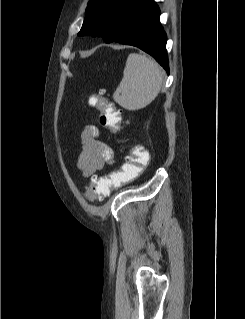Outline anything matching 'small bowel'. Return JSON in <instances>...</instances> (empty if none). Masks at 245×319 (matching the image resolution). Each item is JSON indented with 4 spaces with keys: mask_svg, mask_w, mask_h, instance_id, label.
Masks as SVG:
<instances>
[{
    "mask_svg": "<svg viewBox=\"0 0 245 319\" xmlns=\"http://www.w3.org/2000/svg\"><path fill=\"white\" fill-rule=\"evenodd\" d=\"M81 142L78 168L84 177H91L114 162L113 149L100 139L99 129L95 125L82 128Z\"/></svg>",
    "mask_w": 245,
    "mask_h": 319,
    "instance_id": "obj_1",
    "label": "small bowel"
}]
</instances>
